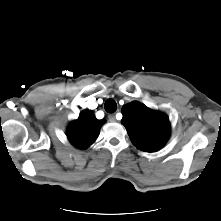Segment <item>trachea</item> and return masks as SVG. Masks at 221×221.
I'll list each match as a JSON object with an SVG mask.
<instances>
[{
  "label": "trachea",
  "instance_id": "1",
  "mask_svg": "<svg viewBox=\"0 0 221 221\" xmlns=\"http://www.w3.org/2000/svg\"><path fill=\"white\" fill-rule=\"evenodd\" d=\"M104 108L108 113H114L117 110V104L113 99H108L105 102Z\"/></svg>",
  "mask_w": 221,
  "mask_h": 221
}]
</instances>
